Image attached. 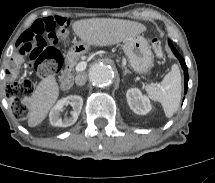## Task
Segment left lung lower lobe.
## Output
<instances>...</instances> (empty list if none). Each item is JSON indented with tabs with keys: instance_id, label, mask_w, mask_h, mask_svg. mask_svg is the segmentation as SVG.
<instances>
[{
	"instance_id": "obj_1",
	"label": "left lung lower lobe",
	"mask_w": 215,
	"mask_h": 183,
	"mask_svg": "<svg viewBox=\"0 0 215 183\" xmlns=\"http://www.w3.org/2000/svg\"><path fill=\"white\" fill-rule=\"evenodd\" d=\"M169 43V46L171 47L173 53L175 54V56L179 59L180 61V64L182 66V69L184 70V93L187 92V89H188V70H187V66H186V63L184 61V59L182 58V56L178 53V51L174 48V46L172 45V43L170 41H168Z\"/></svg>"
}]
</instances>
